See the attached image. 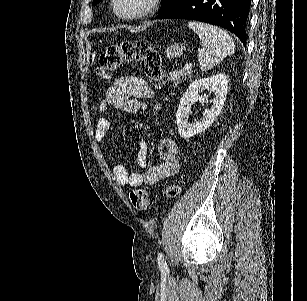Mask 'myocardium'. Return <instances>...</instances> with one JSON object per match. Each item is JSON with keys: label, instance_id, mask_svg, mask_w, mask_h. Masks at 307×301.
Returning <instances> with one entry per match:
<instances>
[{"label": "myocardium", "instance_id": "f54148a6", "mask_svg": "<svg viewBox=\"0 0 307 301\" xmlns=\"http://www.w3.org/2000/svg\"><path fill=\"white\" fill-rule=\"evenodd\" d=\"M122 1L124 0H112L109 8L110 12L122 17V20H125V17H127V20H133V17H147L152 13L158 2V0H143L137 10H131L127 9L128 5Z\"/></svg>", "mask_w": 307, "mask_h": 301}]
</instances>
